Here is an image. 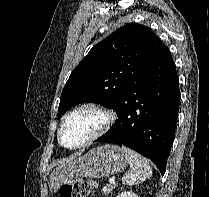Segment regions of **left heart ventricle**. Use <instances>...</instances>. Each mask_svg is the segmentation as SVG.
Instances as JSON below:
<instances>
[{
	"mask_svg": "<svg viewBox=\"0 0 209 197\" xmlns=\"http://www.w3.org/2000/svg\"><path fill=\"white\" fill-rule=\"evenodd\" d=\"M103 115L92 109L78 111L65 123L62 130V142L66 146H75L83 142L103 123Z\"/></svg>",
	"mask_w": 209,
	"mask_h": 197,
	"instance_id": "1",
	"label": "left heart ventricle"
}]
</instances>
